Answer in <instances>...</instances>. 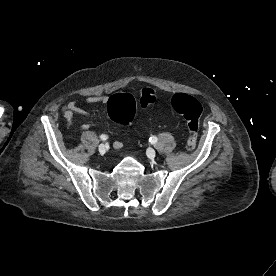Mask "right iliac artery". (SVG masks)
Here are the masks:
<instances>
[{
    "instance_id": "obj_1",
    "label": "right iliac artery",
    "mask_w": 276,
    "mask_h": 276,
    "mask_svg": "<svg viewBox=\"0 0 276 276\" xmlns=\"http://www.w3.org/2000/svg\"><path fill=\"white\" fill-rule=\"evenodd\" d=\"M100 138H101V140H103V141L107 140V136H106V135H103V134L100 136Z\"/></svg>"
}]
</instances>
